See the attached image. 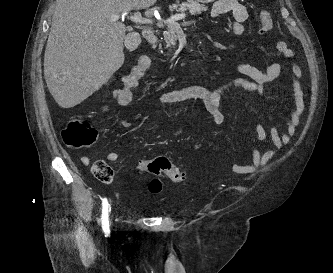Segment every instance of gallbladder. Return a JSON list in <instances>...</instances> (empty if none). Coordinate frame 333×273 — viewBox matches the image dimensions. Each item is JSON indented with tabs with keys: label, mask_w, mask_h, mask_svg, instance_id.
<instances>
[{
	"label": "gallbladder",
	"mask_w": 333,
	"mask_h": 273,
	"mask_svg": "<svg viewBox=\"0 0 333 273\" xmlns=\"http://www.w3.org/2000/svg\"><path fill=\"white\" fill-rule=\"evenodd\" d=\"M140 44V39L137 37L135 40H133V43H130L128 39L126 40V45L129 50H134L137 48V46Z\"/></svg>",
	"instance_id": "1"
}]
</instances>
